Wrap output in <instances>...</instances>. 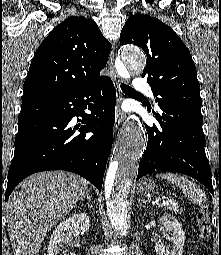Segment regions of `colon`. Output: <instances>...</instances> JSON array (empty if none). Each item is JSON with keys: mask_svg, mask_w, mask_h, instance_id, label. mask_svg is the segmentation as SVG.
Returning a JSON list of instances; mask_svg holds the SVG:
<instances>
[{"mask_svg": "<svg viewBox=\"0 0 221 255\" xmlns=\"http://www.w3.org/2000/svg\"><path fill=\"white\" fill-rule=\"evenodd\" d=\"M197 224L201 239L207 241L211 235L210 212L207 205H204L198 211Z\"/></svg>", "mask_w": 221, "mask_h": 255, "instance_id": "1", "label": "colon"}]
</instances>
